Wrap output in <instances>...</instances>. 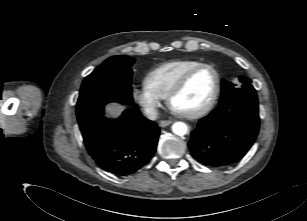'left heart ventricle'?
Segmentation results:
<instances>
[{
    "mask_svg": "<svg viewBox=\"0 0 307 221\" xmlns=\"http://www.w3.org/2000/svg\"><path fill=\"white\" fill-rule=\"evenodd\" d=\"M215 75L210 69L198 71L184 90L173 100L172 107L181 113H192L204 107L213 95Z\"/></svg>",
    "mask_w": 307,
    "mask_h": 221,
    "instance_id": "obj_1",
    "label": "left heart ventricle"
}]
</instances>
